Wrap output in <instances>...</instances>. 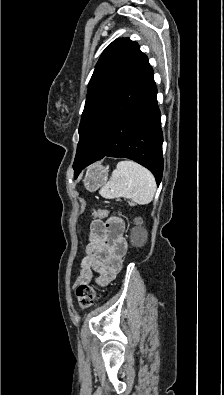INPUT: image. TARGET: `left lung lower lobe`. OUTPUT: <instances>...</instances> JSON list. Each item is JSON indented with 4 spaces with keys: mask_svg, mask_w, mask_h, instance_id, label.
Listing matches in <instances>:
<instances>
[{
    "mask_svg": "<svg viewBox=\"0 0 224 395\" xmlns=\"http://www.w3.org/2000/svg\"><path fill=\"white\" fill-rule=\"evenodd\" d=\"M153 70L147 62L98 115L74 177L91 163L109 157L132 159L148 168L159 185L163 173L160 111Z\"/></svg>",
    "mask_w": 224,
    "mask_h": 395,
    "instance_id": "obj_1",
    "label": "left lung lower lobe"
}]
</instances>
